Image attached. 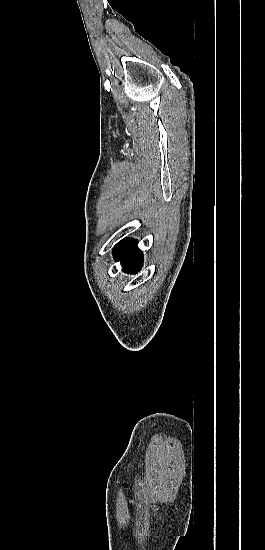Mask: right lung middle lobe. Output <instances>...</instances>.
Instances as JSON below:
<instances>
[{"instance_id":"1","label":"right lung middle lobe","mask_w":265,"mask_h":550,"mask_svg":"<svg viewBox=\"0 0 265 550\" xmlns=\"http://www.w3.org/2000/svg\"><path fill=\"white\" fill-rule=\"evenodd\" d=\"M123 241H124V240H123ZM123 241H121L120 243H118V244L116 245L115 249H116L117 247H119L120 244H121Z\"/></svg>"}]
</instances>
